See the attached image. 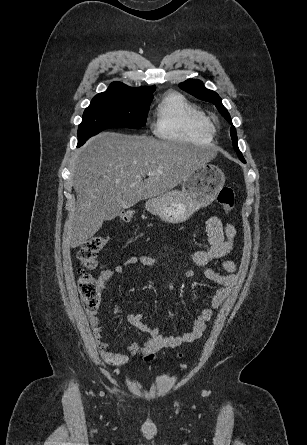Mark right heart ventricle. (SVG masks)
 <instances>
[{
	"mask_svg": "<svg viewBox=\"0 0 307 445\" xmlns=\"http://www.w3.org/2000/svg\"><path fill=\"white\" fill-rule=\"evenodd\" d=\"M153 132L168 140H207V144L213 140L210 120L177 93L162 99Z\"/></svg>",
	"mask_w": 307,
	"mask_h": 445,
	"instance_id": "e07e8e85",
	"label": "right heart ventricle"
}]
</instances>
